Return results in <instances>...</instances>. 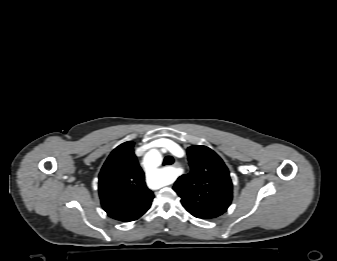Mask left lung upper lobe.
<instances>
[{
    "label": "left lung upper lobe",
    "mask_w": 337,
    "mask_h": 261,
    "mask_svg": "<svg viewBox=\"0 0 337 261\" xmlns=\"http://www.w3.org/2000/svg\"><path fill=\"white\" fill-rule=\"evenodd\" d=\"M187 154L191 171L180 176L173 187L183 207L201 219L222 215L232 201V182L227 167L206 146H191Z\"/></svg>",
    "instance_id": "5c2ea615"
}]
</instances>
